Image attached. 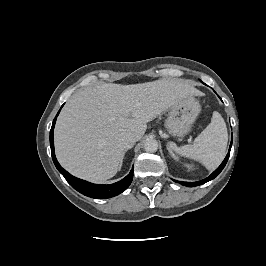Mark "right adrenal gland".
Listing matches in <instances>:
<instances>
[{
    "mask_svg": "<svg viewBox=\"0 0 266 266\" xmlns=\"http://www.w3.org/2000/svg\"><path fill=\"white\" fill-rule=\"evenodd\" d=\"M126 151H127V150H126ZM121 166H122V163H121V165H120L119 169H121Z\"/></svg>",
    "mask_w": 266,
    "mask_h": 266,
    "instance_id": "obj_1",
    "label": "right adrenal gland"
}]
</instances>
